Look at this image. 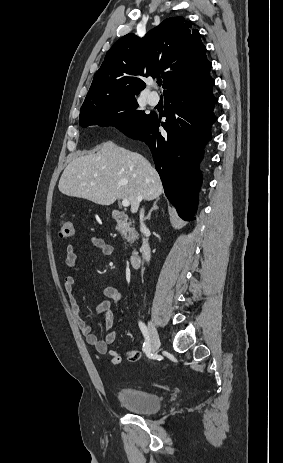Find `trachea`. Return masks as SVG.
Returning <instances> with one entry per match:
<instances>
[{
    "label": "trachea",
    "mask_w": 283,
    "mask_h": 463,
    "mask_svg": "<svg viewBox=\"0 0 283 463\" xmlns=\"http://www.w3.org/2000/svg\"><path fill=\"white\" fill-rule=\"evenodd\" d=\"M158 85L161 86L162 85V81H157Z\"/></svg>",
    "instance_id": "trachea-1"
}]
</instances>
